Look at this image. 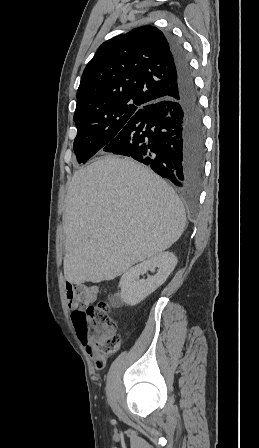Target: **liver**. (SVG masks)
<instances>
[{
    "label": "liver",
    "instance_id": "liver-1",
    "mask_svg": "<svg viewBox=\"0 0 259 448\" xmlns=\"http://www.w3.org/2000/svg\"><path fill=\"white\" fill-rule=\"evenodd\" d=\"M63 222L65 280L98 284L168 250L186 216L160 176L132 158L105 156L73 174Z\"/></svg>",
    "mask_w": 259,
    "mask_h": 448
}]
</instances>
